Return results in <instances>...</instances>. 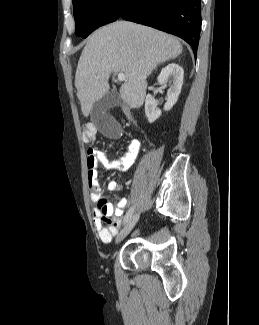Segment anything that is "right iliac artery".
<instances>
[{"label":"right iliac artery","instance_id":"right-iliac-artery-1","mask_svg":"<svg viewBox=\"0 0 259 325\" xmlns=\"http://www.w3.org/2000/svg\"><path fill=\"white\" fill-rule=\"evenodd\" d=\"M134 212V207H131L125 214V217H124V224H126L129 219L132 217V214Z\"/></svg>","mask_w":259,"mask_h":325}]
</instances>
